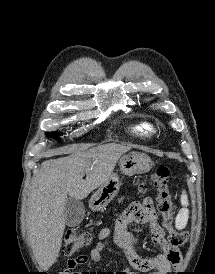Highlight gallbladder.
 Here are the masks:
<instances>
[{"label": "gallbladder", "instance_id": "bac80fb5", "mask_svg": "<svg viewBox=\"0 0 215 274\" xmlns=\"http://www.w3.org/2000/svg\"><path fill=\"white\" fill-rule=\"evenodd\" d=\"M64 216L67 226H78L85 217L83 202L73 197L67 198L64 206Z\"/></svg>", "mask_w": 215, "mask_h": 274}]
</instances>
